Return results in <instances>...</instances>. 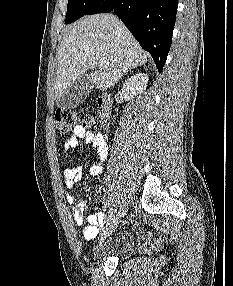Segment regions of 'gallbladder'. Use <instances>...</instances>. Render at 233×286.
<instances>
[{"label": "gallbladder", "instance_id": "1", "mask_svg": "<svg viewBox=\"0 0 233 286\" xmlns=\"http://www.w3.org/2000/svg\"><path fill=\"white\" fill-rule=\"evenodd\" d=\"M91 89V77L85 73L79 76L62 96L56 99V106L62 110L76 107L87 98Z\"/></svg>", "mask_w": 233, "mask_h": 286}]
</instances>
